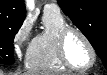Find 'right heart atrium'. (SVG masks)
<instances>
[{
	"mask_svg": "<svg viewBox=\"0 0 107 75\" xmlns=\"http://www.w3.org/2000/svg\"><path fill=\"white\" fill-rule=\"evenodd\" d=\"M31 44V23L24 20L13 35L12 46L16 57L21 60L28 53Z\"/></svg>",
	"mask_w": 107,
	"mask_h": 75,
	"instance_id": "right-heart-atrium-1",
	"label": "right heart atrium"
}]
</instances>
